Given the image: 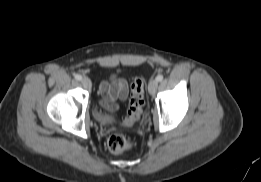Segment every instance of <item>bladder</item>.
<instances>
[{"label":"bladder","instance_id":"31cf9c89","mask_svg":"<svg viewBox=\"0 0 261 182\" xmlns=\"http://www.w3.org/2000/svg\"><path fill=\"white\" fill-rule=\"evenodd\" d=\"M93 114H94V118L99 123L106 124V123H111L114 120L112 115L104 113V112L98 110L97 107H94Z\"/></svg>","mask_w":261,"mask_h":182}]
</instances>
